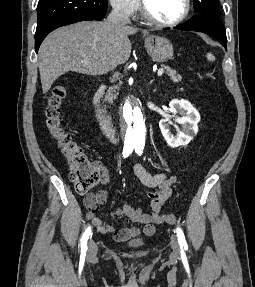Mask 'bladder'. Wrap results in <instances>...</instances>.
<instances>
[{
  "mask_svg": "<svg viewBox=\"0 0 255 287\" xmlns=\"http://www.w3.org/2000/svg\"><path fill=\"white\" fill-rule=\"evenodd\" d=\"M128 244L131 246V247H140L144 244V240L142 237H134V238H131L129 241H128Z\"/></svg>",
  "mask_w": 255,
  "mask_h": 287,
  "instance_id": "31cf9c89",
  "label": "bladder"
}]
</instances>
